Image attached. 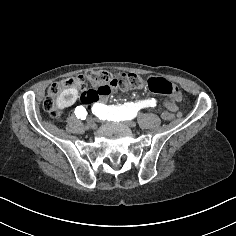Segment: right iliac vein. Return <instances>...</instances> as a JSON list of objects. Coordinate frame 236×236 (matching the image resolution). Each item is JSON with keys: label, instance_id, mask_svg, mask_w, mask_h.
<instances>
[{"label": "right iliac vein", "instance_id": "obj_1", "mask_svg": "<svg viewBox=\"0 0 236 236\" xmlns=\"http://www.w3.org/2000/svg\"><path fill=\"white\" fill-rule=\"evenodd\" d=\"M86 124L91 130L97 129V124L92 119H87Z\"/></svg>", "mask_w": 236, "mask_h": 236}]
</instances>
